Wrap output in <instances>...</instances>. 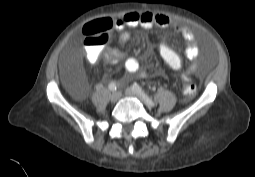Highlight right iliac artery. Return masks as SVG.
I'll use <instances>...</instances> for the list:
<instances>
[{"label": "right iliac artery", "instance_id": "right-iliac-artery-1", "mask_svg": "<svg viewBox=\"0 0 255 177\" xmlns=\"http://www.w3.org/2000/svg\"><path fill=\"white\" fill-rule=\"evenodd\" d=\"M109 90L114 92L116 91L117 87H116V84L114 82H111L108 86Z\"/></svg>", "mask_w": 255, "mask_h": 177}]
</instances>
